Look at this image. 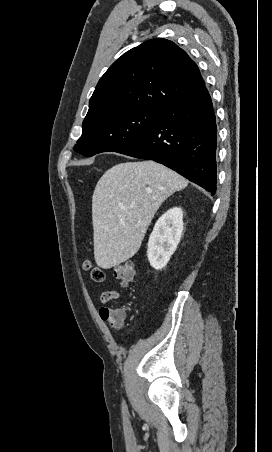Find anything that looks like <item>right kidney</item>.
Returning <instances> with one entry per match:
<instances>
[{
    "mask_svg": "<svg viewBox=\"0 0 272 452\" xmlns=\"http://www.w3.org/2000/svg\"><path fill=\"white\" fill-rule=\"evenodd\" d=\"M183 232V212L173 207L165 212L156 222L149 237L147 256L150 265L163 269L175 252Z\"/></svg>",
    "mask_w": 272,
    "mask_h": 452,
    "instance_id": "1",
    "label": "right kidney"
}]
</instances>
